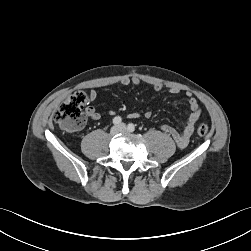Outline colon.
Masks as SVG:
<instances>
[{
	"mask_svg": "<svg viewBox=\"0 0 251 251\" xmlns=\"http://www.w3.org/2000/svg\"><path fill=\"white\" fill-rule=\"evenodd\" d=\"M87 101L88 96L83 91H76L68 96L55 114L56 122L70 131L81 129L86 122L83 108ZM197 133L201 137L207 136L209 133L208 126L203 123L199 124Z\"/></svg>",
	"mask_w": 251,
	"mask_h": 251,
	"instance_id": "5ec220e1",
	"label": "colon"
}]
</instances>
